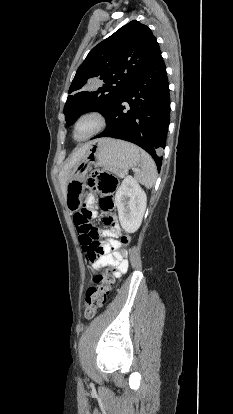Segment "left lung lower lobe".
<instances>
[{
    "mask_svg": "<svg viewBox=\"0 0 233 414\" xmlns=\"http://www.w3.org/2000/svg\"><path fill=\"white\" fill-rule=\"evenodd\" d=\"M105 117L107 127L96 137L122 139L140 146L160 170V151L165 148L170 120L169 82L161 51Z\"/></svg>",
    "mask_w": 233,
    "mask_h": 414,
    "instance_id": "left-lung-lower-lobe-1",
    "label": "left lung lower lobe"
}]
</instances>
